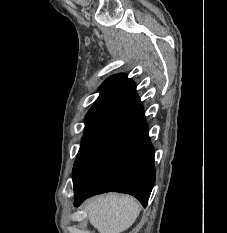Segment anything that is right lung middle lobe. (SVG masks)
Instances as JSON below:
<instances>
[{"mask_svg": "<svg viewBox=\"0 0 227 233\" xmlns=\"http://www.w3.org/2000/svg\"><path fill=\"white\" fill-rule=\"evenodd\" d=\"M119 137L112 134H84L73 167V185L76 187L100 155Z\"/></svg>", "mask_w": 227, "mask_h": 233, "instance_id": "1", "label": "right lung middle lobe"}]
</instances>
